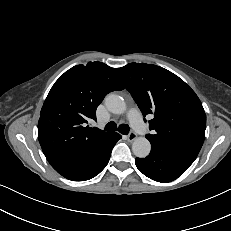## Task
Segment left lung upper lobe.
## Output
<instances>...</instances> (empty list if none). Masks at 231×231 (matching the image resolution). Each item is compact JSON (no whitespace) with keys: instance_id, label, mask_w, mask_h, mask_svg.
<instances>
[{"instance_id":"1","label":"left lung upper lobe","mask_w":231,"mask_h":231,"mask_svg":"<svg viewBox=\"0 0 231 231\" xmlns=\"http://www.w3.org/2000/svg\"><path fill=\"white\" fill-rule=\"evenodd\" d=\"M117 73L143 116L153 115L146 135L151 145L199 153L206 114L195 92L172 72L152 64L130 63ZM146 121V120H145Z\"/></svg>"}]
</instances>
